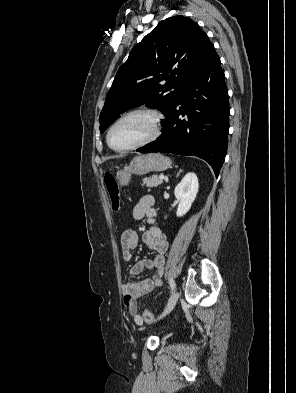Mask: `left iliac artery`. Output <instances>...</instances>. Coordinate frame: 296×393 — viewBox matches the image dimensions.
I'll list each match as a JSON object with an SVG mask.
<instances>
[{
    "instance_id": "1",
    "label": "left iliac artery",
    "mask_w": 296,
    "mask_h": 393,
    "mask_svg": "<svg viewBox=\"0 0 296 393\" xmlns=\"http://www.w3.org/2000/svg\"><path fill=\"white\" fill-rule=\"evenodd\" d=\"M169 285L171 290L173 291L176 287L175 281L173 280V278H169Z\"/></svg>"
}]
</instances>
